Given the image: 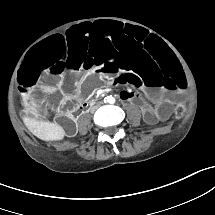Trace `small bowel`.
I'll return each instance as SVG.
<instances>
[{
  "mask_svg": "<svg viewBox=\"0 0 215 215\" xmlns=\"http://www.w3.org/2000/svg\"><path fill=\"white\" fill-rule=\"evenodd\" d=\"M122 98H123L124 100H127V99L130 98V96H129V95H123Z\"/></svg>",
  "mask_w": 215,
  "mask_h": 215,
  "instance_id": "obj_1",
  "label": "small bowel"
}]
</instances>
